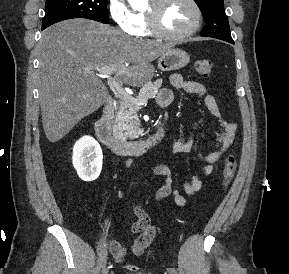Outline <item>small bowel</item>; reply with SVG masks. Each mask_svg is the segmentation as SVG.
<instances>
[{
    "label": "small bowel",
    "mask_w": 289,
    "mask_h": 274,
    "mask_svg": "<svg viewBox=\"0 0 289 274\" xmlns=\"http://www.w3.org/2000/svg\"><path fill=\"white\" fill-rule=\"evenodd\" d=\"M170 81L173 88L183 93L202 96L206 108L218 120L220 127L211 150L205 155H194L193 157L196 162L201 163L199 172L193 174L183 182L184 193L188 196H193L203 187L201 176L213 174L215 163H217L231 147L235 139L237 124L223 118L216 99L212 94L207 92L206 87L202 83L184 80L179 74L172 75ZM173 98L172 91L164 88L160 90L157 101L160 106L167 108L172 104ZM193 147V139L183 141L175 137L172 141V152L175 154H192ZM151 176L165 177L164 184L155 193L154 198L156 201L172 196L177 206L184 207L187 204L186 197L174 184L172 172L168 165L159 164L155 166L151 170ZM134 213L137 220L133 223L131 231L136 235V238L130 248L129 254L133 257H138L152 243L156 234V228L151 223L148 214L141 207H136ZM109 249L117 263L122 262L128 255L127 249L116 240H112L109 243Z\"/></svg>",
    "instance_id": "1"
}]
</instances>
